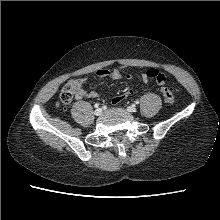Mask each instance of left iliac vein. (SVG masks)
Instances as JSON below:
<instances>
[{
  "mask_svg": "<svg viewBox=\"0 0 220 220\" xmlns=\"http://www.w3.org/2000/svg\"><path fill=\"white\" fill-rule=\"evenodd\" d=\"M127 110H128L129 112H131V113H134V112H136L137 108H136L135 105H130V106L127 108Z\"/></svg>",
  "mask_w": 220,
  "mask_h": 220,
  "instance_id": "4c4485c4",
  "label": "left iliac vein"
}]
</instances>
